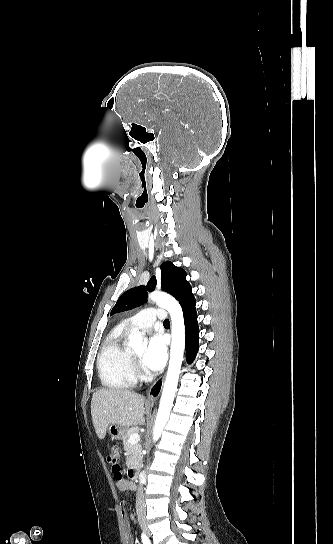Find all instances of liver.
<instances>
[{
	"instance_id": "6515ba94",
	"label": "liver",
	"mask_w": 333,
	"mask_h": 544,
	"mask_svg": "<svg viewBox=\"0 0 333 544\" xmlns=\"http://www.w3.org/2000/svg\"><path fill=\"white\" fill-rule=\"evenodd\" d=\"M144 398L123 389H100L93 393L91 416L96 434L104 439L110 424L127 428L145 424Z\"/></svg>"
}]
</instances>
